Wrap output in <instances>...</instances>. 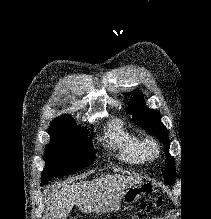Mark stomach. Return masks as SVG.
Returning <instances> with one entry per match:
<instances>
[{"label":"stomach","mask_w":211,"mask_h":219,"mask_svg":"<svg viewBox=\"0 0 211 219\" xmlns=\"http://www.w3.org/2000/svg\"><path fill=\"white\" fill-rule=\"evenodd\" d=\"M154 191V185L150 183H142L138 186H131L126 189L121 197V200L126 205L135 203L142 196L149 195Z\"/></svg>","instance_id":"stomach-1"}]
</instances>
